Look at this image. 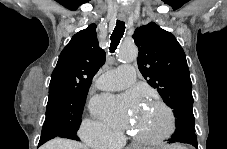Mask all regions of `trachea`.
I'll return each instance as SVG.
<instances>
[{
  "instance_id": "1",
  "label": "trachea",
  "mask_w": 227,
  "mask_h": 149,
  "mask_svg": "<svg viewBox=\"0 0 227 149\" xmlns=\"http://www.w3.org/2000/svg\"><path fill=\"white\" fill-rule=\"evenodd\" d=\"M125 32V23L123 21L117 20L116 26L111 34L110 40V52L113 53L118 44L120 43L121 38L123 37Z\"/></svg>"
}]
</instances>
